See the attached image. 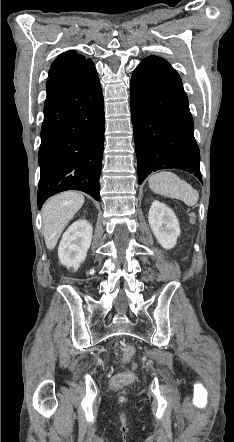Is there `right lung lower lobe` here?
I'll use <instances>...</instances> for the list:
<instances>
[{"instance_id": "obj_1", "label": "right lung lower lobe", "mask_w": 234, "mask_h": 442, "mask_svg": "<svg viewBox=\"0 0 234 442\" xmlns=\"http://www.w3.org/2000/svg\"><path fill=\"white\" fill-rule=\"evenodd\" d=\"M46 88L38 207L66 190H80L99 201L104 102L93 62L70 77L48 79Z\"/></svg>"}]
</instances>
